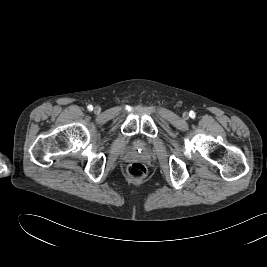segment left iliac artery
Returning <instances> with one entry per match:
<instances>
[{
	"label": "left iliac artery",
	"mask_w": 267,
	"mask_h": 267,
	"mask_svg": "<svg viewBox=\"0 0 267 267\" xmlns=\"http://www.w3.org/2000/svg\"><path fill=\"white\" fill-rule=\"evenodd\" d=\"M189 116H190L191 118H195L196 114H195L194 111H190Z\"/></svg>",
	"instance_id": "1"
}]
</instances>
